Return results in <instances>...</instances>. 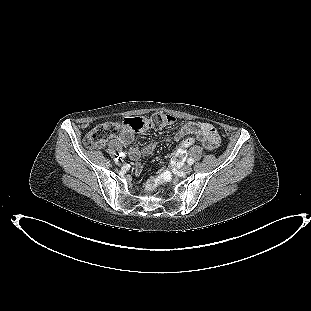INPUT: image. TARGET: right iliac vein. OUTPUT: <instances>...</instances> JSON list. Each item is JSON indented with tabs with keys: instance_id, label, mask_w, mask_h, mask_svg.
I'll use <instances>...</instances> for the list:
<instances>
[{
	"instance_id": "right-iliac-vein-1",
	"label": "right iliac vein",
	"mask_w": 311,
	"mask_h": 311,
	"mask_svg": "<svg viewBox=\"0 0 311 311\" xmlns=\"http://www.w3.org/2000/svg\"><path fill=\"white\" fill-rule=\"evenodd\" d=\"M122 162H123V160L121 159L120 161H117V164H118V165H121Z\"/></svg>"
}]
</instances>
